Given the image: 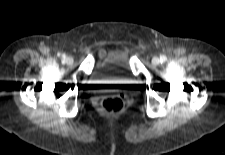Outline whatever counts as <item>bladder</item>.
<instances>
[{"label":"bladder","instance_id":"obj_1","mask_svg":"<svg viewBox=\"0 0 225 155\" xmlns=\"http://www.w3.org/2000/svg\"><path fill=\"white\" fill-rule=\"evenodd\" d=\"M93 77L100 83L132 86V73L127 55L122 51H110L95 63Z\"/></svg>","mask_w":225,"mask_h":155}]
</instances>
